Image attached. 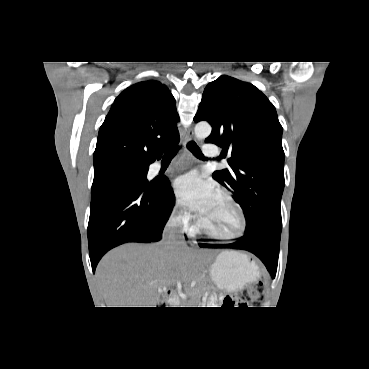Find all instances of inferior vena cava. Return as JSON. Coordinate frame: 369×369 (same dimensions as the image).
<instances>
[{
    "instance_id": "inferior-vena-cava-1",
    "label": "inferior vena cava",
    "mask_w": 369,
    "mask_h": 369,
    "mask_svg": "<svg viewBox=\"0 0 369 369\" xmlns=\"http://www.w3.org/2000/svg\"><path fill=\"white\" fill-rule=\"evenodd\" d=\"M163 244L166 250L174 251L179 246H185L186 243L182 236V218L172 216L163 231Z\"/></svg>"
}]
</instances>
